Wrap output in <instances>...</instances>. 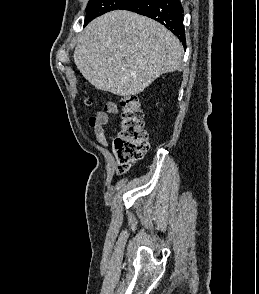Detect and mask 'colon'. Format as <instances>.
I'll list each match as a JSON object with an SVG mask.
<instances>
[{
	"mask_svg": "<svg viewBox=\"0 0 259 294\" xmlns=\"http://www.w3.org/2000/svg\"><path fill=\"white\" fill-rule=\"evenodd\" d=\"M86 103L90 104L91 99H87ZM120 104L121 123L115 139V151L120 161L119 173L123 174L144 156L149 149V142L138 97L124 96Z\"/></svg>",
	"mask_w": 259,
	"mask_h": 294,
	"instance_id": "5ec220e1",
	"label": "colon"
}]
</instances>
